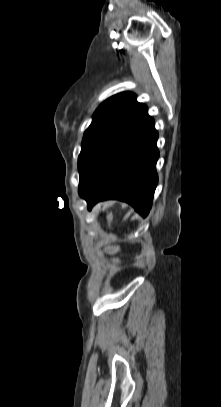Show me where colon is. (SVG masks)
<instances>
[{
	"instance_id": "obj_1",
	"label": "colon",
	"mask_w": 221,
	"mask_h": 407,
	"mask_svg": "<svg viewBox=\"0 0 221 407\" xmlns=\"http://www.w3.org/2000/svg\"><path fill=\"white\" fill-rule=\"evenodd\" d=\"M108 219L111 220V215H108ZM105 248H106L107 250H110V249L112 248V245H111L110 243H107V244L105 245ZM111 252H112L113 254H116V253L118 252V249H117L116 247H113V248L111 249ZM119 261H120L121 263H124V262L126 261V258H125L124 256H121V257L119 258Z\"/></svg>"
}]
</instances>
